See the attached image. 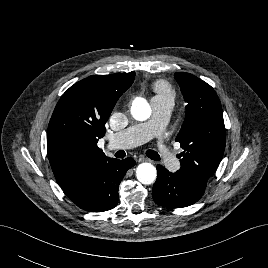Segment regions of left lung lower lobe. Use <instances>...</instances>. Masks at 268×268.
<instances>
[{
  "label": "left lung lower lobe",
  "instance_id": "0a47b994",
  "mask_svg": "<svg viewBox=\"0 0 268 268\" xmlns=\"http://www.w3.org/2000/svg\"><path fill=\"white\" fill-rule=\"evenodd\" d=\"M158 176L152 196L156 204L168 208H182L197 202L204 194L202 188L179 172L170 173L157 165Z\"/></svg>",
  "mask_w": 268,
  "mask_h": 268
}]
</instances>
